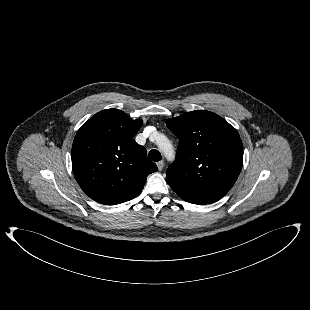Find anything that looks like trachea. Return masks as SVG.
<instances>
[{"instance_id": "1", "label": "trachea", "mask_w": 310, "mask_h": 310, "mask_svg": "<svg viewBox=\"0 0 310 310\" xmlns=\"http://www.w3.org/2000/svg\"><path fill=\"white\" fill-rule=\"evenodd\" d=\"M148 157L150 160L152 161H160L162 156H161V153L158 151V150H155V149H152L149 154H148Z\"/></svg>"}]
</instances>
